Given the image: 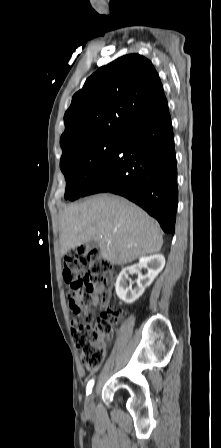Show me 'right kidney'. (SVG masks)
<instances>
[{
	"mask_svg": "<svg viewBox=\"0 0 221 448\" xmlns=\"http://www.w3.org/2000/svg\"><path fill=\"white\" fill-rule=\"evenodd\" d=\"M165 265V258L162 254H155L147 257H141L139 263L122 269L117 277L115 289L117 296L126 304L135 302L145 291L155 277L162 271ZM147 269V273L142 275L141 270ZM138 274L136 287L132 289L128 286L129 275Z\"/></svg>",
	"mask_w": 221,
	"mask_h": 448,
	"instance_id": "1",
	"label": "right kidney"
}]
</instances>
